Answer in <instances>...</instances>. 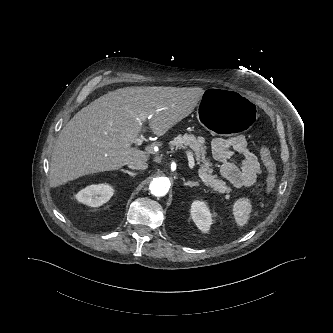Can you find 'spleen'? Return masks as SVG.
<instances>
[{
	"label": "spleen",
	"instance_id": "obj_1",
	"mask_svg": "<svg viewBox=\"0 0 333 333\" xmlns=\"http://www.w3.org/2000/svg\"><path fill=\"white\" fill-rule=\"evenodd\" d=\"M235 221L239 227H243L249 220L252 212V204L248 198L237 199L232 206Z\"/></svg>",
	"mask_w": 333,
	"mask_h": 333
}]
</instances>
